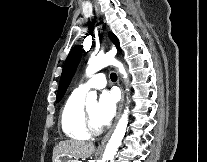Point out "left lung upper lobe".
Instances as JSON below:
<instances>
[{
  "instance_id": "1",
  "label": "left lung upper lobe",
  "mask_w": 207,
  "mask_h": 162,
  "mask_svg": "<svg viewBox=\"0 0 207 162\" xmlns=\"http://www.w3.org/2000/svg\"><path fill=\"white\" fill-rule=\"evenodd\" d=\"M111 40L116 44V46L119 48V42L116 36L113 33L109 34ZM81 53H82V47L80 45L75 46L71 52L69 53L61 75L60 79V84H59V89L57 92V99L56 102H59L61 98L63 97L73 75L76 70V67L79 63V60L81 58Z\"/></svg>"
}]
</instances>
